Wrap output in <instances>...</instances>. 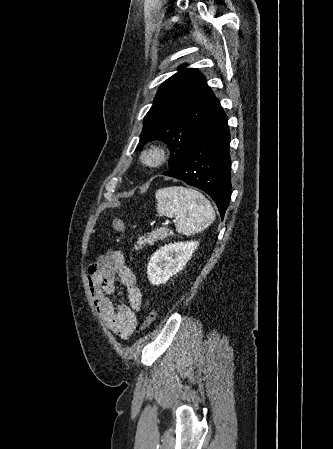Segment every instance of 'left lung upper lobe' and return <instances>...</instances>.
<instances>
[{"label":"left lung upper lobe","instance_id":"obj_1","mask_svg":"<svg viewBox=\"0 0 333 449\" xmlns=\"http://www.w3.org/2000/svg\"><path fill=\"white\" fill-rule=\"evenodd\" d=\"M179 67V72L159 88L153 106L144 118L137 149L151 140H162L170 148L169 169L179 167L193 139L217 102L197 69Z\"/></svg>","mask_w":333,"mask_h":449}]
</instances>
